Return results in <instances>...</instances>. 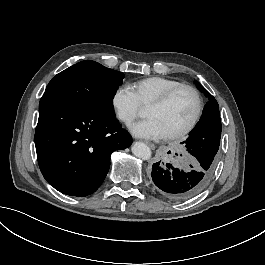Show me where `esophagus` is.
Here are the masks:
<instances>
[{"label": "esophagus", "instance_id": "34e87169", "mask_svg": "<svg viewBox=\"0 0 265 265\" xmlns=\"http://www.w3.org/2000/svg\"><path fill=\"white\" fill-rule=\"evenodd\" d=\"M144 142L150 147L151 150H155L156 149V146L153 143L148 142V141H144Z\"/></svg>", "mask_w": 265, "mask_h": 265}]
</instances>
